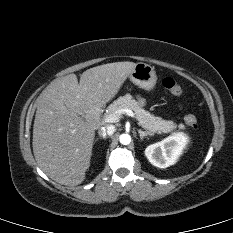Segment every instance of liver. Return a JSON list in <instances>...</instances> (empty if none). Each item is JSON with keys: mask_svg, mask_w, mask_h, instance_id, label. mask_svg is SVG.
Wrapping results in <instances>:
<instances>
[{"mask_svg": "<svg viewBox=\"0 0 233 233\" xmlns=\"http://www.w3.org/2000/svg\"><path fill=\"white\" fill-rule=\"evenodd\" d=\"M135 66L128 61L96 66L84 71L79 83L72 73L41 93L32 147L39 168L52 180L68 186L84 181L95 127L82 117L114 98Z\"/></svg>", "mask_w": 233, "mask_h": 233, "instance_id": "1", "label": "liver"}]
</instances>
